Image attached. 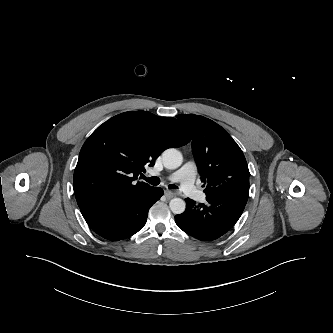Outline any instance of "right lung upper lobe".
Here are the masks:
<instances>
[{"mask_svg": "<svg viewBox=\"0 0 333 333\" xmlns=\"http://www.w3.org/2000/svg\"><path fill=\"white\" fill-rule=\"evenodd\" d=\"M178 120L147 111L121 113L100 125L85 141L74 171L78 206L95 201H127L152 187L136 183L160 153L190 141Z\"/></svg>", "mask_w": 333, "mask_h": 333, "instance_id": "1", "label": "right lung upper lobe"}]
</instances>
